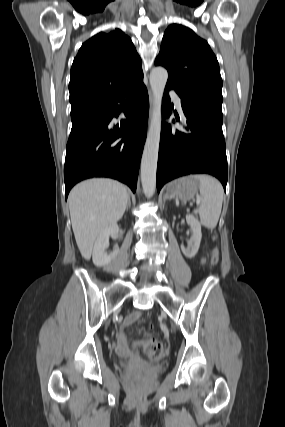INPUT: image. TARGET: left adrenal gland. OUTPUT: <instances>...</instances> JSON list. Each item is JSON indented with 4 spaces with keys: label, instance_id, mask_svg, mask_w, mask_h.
<instances>
[{
    "label": "left adrenal gland",
    "instance_id": "left-adrenal-gland-1",
    "mask_svg": "<svg viewBox=\"0 0 285 427\" xmlns=\"http://www.w3.org/2000/svg\"><path fill=\"white\" fill-rule=\"evenodd\" d=\"M165 200H171V199L169 198L168 194H165V196H164V201H165Z\"/></svg>",
    "mask_w": 285,
    "mask_h": 427
}]
</instances>
